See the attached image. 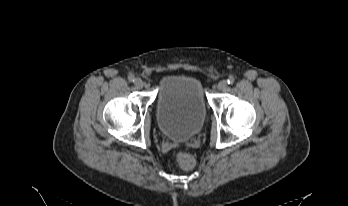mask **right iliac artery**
<instances>
[{"label": "right iliac artery", "instance_id": "right-iliac-artery-1", "mask_svg": "<svg viewBox=\"0 0 348 206\" xmlns=\"http://www.w3.org/2000/svg\"><path fill=\"white\" fill-rule=\"evenodd\" d=\"M128 80H129L130 82H134V81H135L134 75H129V76H128Z\"/></svg>", "mask_w": 348, "mask_h": 206}]
</instances>
